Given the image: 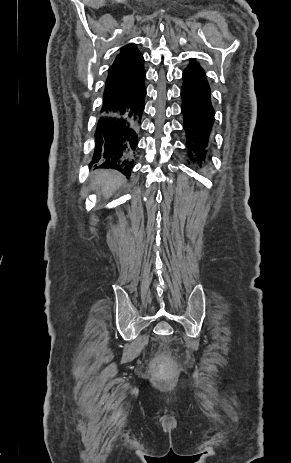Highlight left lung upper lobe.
<instances>
[{"label":"left lung upper lobe","mask_w":291,"mask_h":463,"mask_svg":"<svg viewBox=\"0 0 291 463\" xmlns=\"http://www.w3.org/2000/svg\"><path fill=\"white\" fill-rule=\"evenodd\" d=\"M188 67H190V68H195V69H199V70H203V69L201 68V66H200L196 61H191V62H190V65H189Z\"/></svg>","instance_id":"5c2ea615"}]
</instances>
